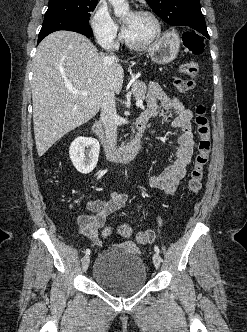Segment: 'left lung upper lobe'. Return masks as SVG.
I'll return each instance as SVG.
<instances>
[{"mask_svg": "<svg viewBox=\"0 0 247 332\" xmlns=\"http://www.w3.org/2000/svg\"><path fill=\"white\" fill-rule=\"evenodd\" d=\"M152 10L166 23L193 30L206 25L199 0H146Z\"/></svg>", "mask_w": 247, "mask_h": 332, "instance_id": "5c2ea615", "label": "left lung upper lobe"}]
</instances>
